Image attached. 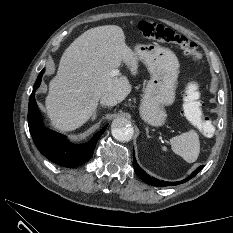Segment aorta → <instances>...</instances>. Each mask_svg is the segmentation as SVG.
Returning a JSON list of instances; mask_svg holds the SVG:
<instances>
[{
    "label": "aorta",
    "instance_id": "1",
    "mask_svg": "<svg viewBox=\"0 0 233 233\" xmlns=\"http://www.w3.org/2000/svg\"><path fill=\"white\" fill-rule=\"evenodd\" d=\"M112 136L121 142H128L132 139L134 129L130 121L125 117H117L112 121Z\"/></svg>",
    "mask_w": 233,
    "mask_h": 233
}]
</instances>
